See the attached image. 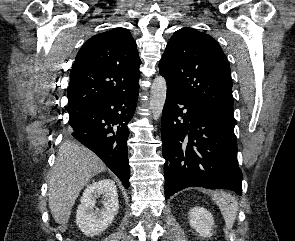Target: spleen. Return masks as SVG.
<instances>
[{"instance_id":"3e777b00","label":"spleen","mask_w":295,"mask_h":241,"mask_svg":"<svg viewBox=\"0 0 295 241\" xmlns=\"http://www.w3.org/2000/svg\"><path fill=\"white\" fill-rule=\"evenodd\" d=\"M212 198L223 215L226 228L231 229L238 211V202L236 198L224 191H214L212 193Z\"/></svg>"}]
</instances>
